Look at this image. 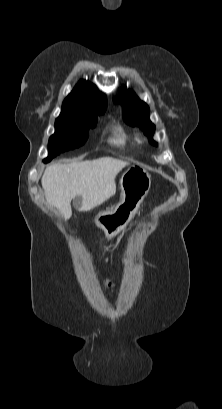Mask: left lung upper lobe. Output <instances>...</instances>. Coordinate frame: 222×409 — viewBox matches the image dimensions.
I'll list each match as a JSON object with an SVG mask.
<instances>
[{"label": "left lung upper lobe", "mask_w": 222, "mask_h": 409, "mask_svg": "<svg viewBox=\"0 0 222 409\" xmlns=\"http://www.w3.org/2000/svg\"><path fill=\"white\" fill-rule=\"evenodd\" d=\"M121 93L124 96L122 101L124 121L132 126L141 127L143 132L149 136L150 142L157 145V143L151 138L155 126L149 119L150 112L147 104L140 101L133 92L129 90L127 91L125 87L121 88Z\"/></svg>", "instance_id": "obj_1"}]
</instances>
